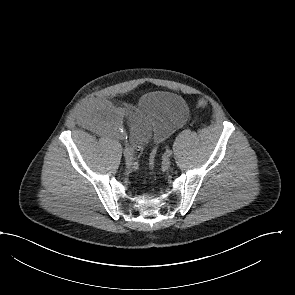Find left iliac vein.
<instances>
[{
	"label": "left iliac vein",
	"instance_id": "left-iliac-vein-1",
	"mask_svg": "<svg viewBox=\"0 0 295 295\" xmlns=\"http://www.w3.org/2000/svg\"><path fill=\"white\" fill-rule=\"evenodd\" d=\"M171 161L168 157L163 159L162 165L165 169H168L170 167Z\"/></svg>",
	"mask_w": 295,
	"mask_h": 295
}]
</instances>
